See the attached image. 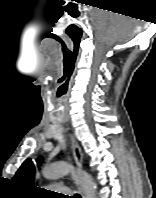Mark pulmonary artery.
Here are the masks:
<instances>
[{
    "instance_id": "1",
    "label": "pulmonary artery",
    "mask_w": 156,
    "mask_h": 198,
    "mask_svg": "<svg viewBox=\"0 0 156 198\" xmlns=\"http://www.w3.org/2000/svg\"><path fill=\"white\" fill-rule=\"evenodd\" d=\"M52 189L58 192L66 193L68 192V188L62 185H53L51 186Z\"/></svg>"
}]
</instances>
